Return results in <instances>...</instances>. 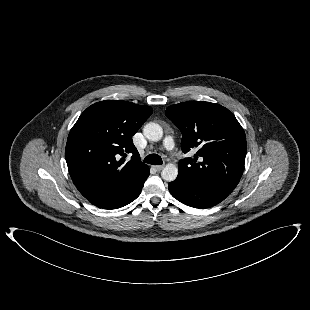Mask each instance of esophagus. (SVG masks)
<instances>
[{"mask_svg": "<svg viewBox=\"0 0 310 310\" xmlns=\"http://www.w3.org/2000/svg\"><path fill=\"white\" fill-rule=\"evenodd\" d=\"M163 168H164L163 165H156V166H154V169H155L156 171H161Z\"/></svg>", "mask_w": 310, "mask_h": 310, "instance_id": "34e87169", "label": "esophagus"}]
</instances>
